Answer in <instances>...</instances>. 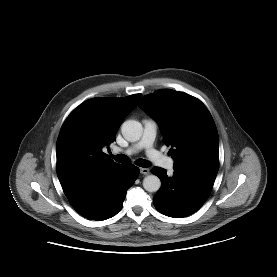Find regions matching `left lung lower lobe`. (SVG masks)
<instances>
[{
	"instance_id": "0a47b994",
	"label": "left lung lower lobe",
	"mask_w": 277,
	"mask_h": 277,
	"mask_svg": "<svg viewBox=\"0 0 277 277\" xmlns=\"http://www.w3.org/2000/svg\"><path fill=\"white\" fill-rule=\"evenodd\" d=\"M151 173L161 180V188L153 197L155 207L166 216L180 218L196 212L208 198L217 173L174 170L168 177L163 168L154 167Z\"/></svg>"
}]
</instances>
